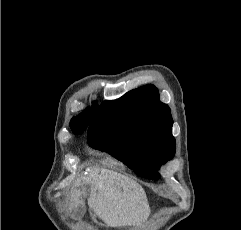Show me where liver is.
Wrapping results in <instances>:
<instances>
[{"mask_svg":"<svg viewBox=\"0 0 241 230\" xmlns=\"http://www.w3.org/2000/svg\"><path fill=\"white\" fill-rule=\"evenodd\" d=\"M92 184L88 206L106 226L131 224L146 217L149 208L143 188L131 178L104 168L89 173Z\"/></svg>","mask_w":241,"mask_h":230,"instance_id":"liver-1","label":"liver"}]
</instances>
